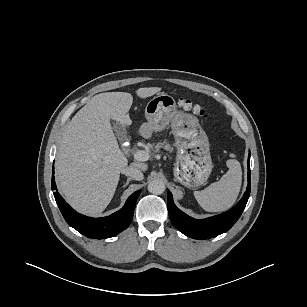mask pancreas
Returning a JSON list of instances; mask_svg holds the SVG:
<instances>
[{"mask_svg":"<svg viewBox=\"0 0 307 307\" xmlns=\"http://www.w3.org/2000/svg\"><path fill=\"white\" fill-rule=\"evenodd\" d=\"M160 148H163L170 153L173 151V147H171V145L165 141L162 143L161 142L157 143L155 146V151H159Z\"/></svg>","mask_w":307,"mask_h":307,"instance_id":"obj_1","label":"pancreas"}]
</instances>
